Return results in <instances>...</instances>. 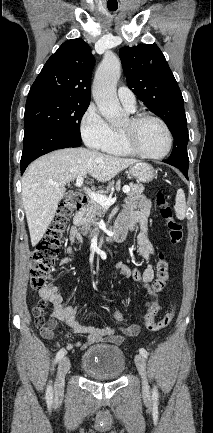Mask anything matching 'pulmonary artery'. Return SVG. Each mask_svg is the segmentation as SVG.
Masks as SVG:
<instances>
[{"mask_svg": "<svg viewBox=\"0 0 213 433\" xmlns=\"http://www.w3.org/2000/svg\"><path fill=\"white\" fill-rule=\"evenodd\" d=\"M118 98L120 102L128 110L133 111L136 108V98L132 90L126 86H121L118 88Z\"/></svg>", "mask_w": 213, "mask_h": 433, "instance_id": "e3ab8cb5", "label": "pulmonary artery"}]
</instances>
